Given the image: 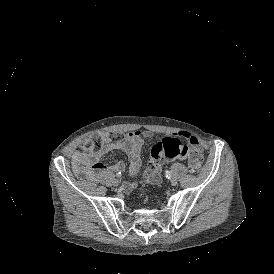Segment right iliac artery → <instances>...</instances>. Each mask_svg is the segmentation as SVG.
<instances>
[{"instance_id":"82829eb1","label":"right iliac artery","mask_w":274,"mask_h":274,"mask_svg":"<svg viewBox=\"0 0 274 274\" xmlns=\"http://www.w3.org/2000/svg\"><path fill=\"white\" fill-rule=\"evenodd\" d=\"M116 176H117V177H121V172H118V173L116 174Z\"/></svg>"}]
</instances>
